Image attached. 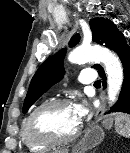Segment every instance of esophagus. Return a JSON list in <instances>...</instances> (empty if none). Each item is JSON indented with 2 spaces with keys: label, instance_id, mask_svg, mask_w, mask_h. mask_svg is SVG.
<instances>
[{
  "label": "esophagus",
  "instance_id": "1",
  "mask_svg": "<svg viewBox=\"0 0 130 153\" xmlns=\"http://www.w3.org/2000/svg\"><path fill=\"white\" fill-rule=\"evenodd\" d=\"M104 109H105V97L103 95H101V104H100V106L97 109L96 114H95V120L96 121H98L101 118Z\"/></svg>",
  "mask_w": 130,
  "mask_h": 153
}]
</instances>
